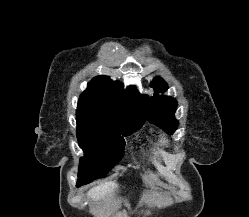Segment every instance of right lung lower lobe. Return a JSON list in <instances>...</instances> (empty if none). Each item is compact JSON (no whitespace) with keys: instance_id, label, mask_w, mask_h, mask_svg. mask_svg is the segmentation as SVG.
Returning a JSON list of instances; mask_svg holds the SVG:
<instances>
[{"instance_id":"1","label":"right lung lower lobe","mask_w":249,"mask_h":217,"mask_svg":"<svg viewBox=\"0 0 249 217\" xmlns=\"http://www.w3.org/2000/svg\"><path fill=\"white\" fill-rule=\"evenodd\" d=\"M81 185H82V184H80V183L77 182V186H81Z\"/></svg>"}]
</instances>
